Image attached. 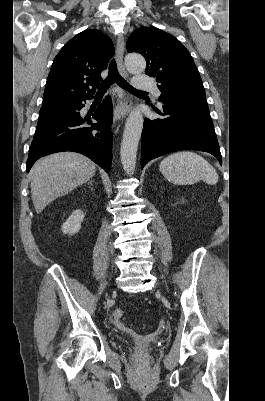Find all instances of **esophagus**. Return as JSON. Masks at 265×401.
<instances>
[{
  "mask_svg": "<svg viewBox=\"0 0 265 401\" xmlns=\"http://www.w3.org/2000/svg\"><path fill=\"white\" fill-rule=\"evenodd\" d=\"M124 37L122 34L118 35L117 38V46H116V60L118 65V70L122 77L128 78V73L124 67L123 56H124ZM132 105V101L124 98L122 90H119L117 93V101L114 109V121L120 120L124 118L127 113V110Z\"/></svg>",
  "mask_w": 265,
  "mask_h": 401,
  "instance_id": "1",
  "label": "esophagus"
}]
</instances>
